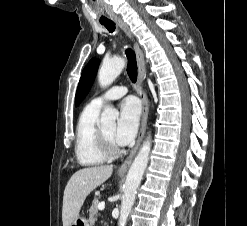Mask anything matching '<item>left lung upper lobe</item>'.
<instances>
[{
  "instance_id": "obj_1",
  "label": "left lung upper lobe",
  "mask_w": 247,
  "mask_h": 226,
  "mask_svg": "<svg viewBox=\"0 0 247 226\" xmlns=\"http://www.w3.org/2000/svg\"><path fill=\"white\" fill-rule=\"evenodd\" d=\"M99 63H100L99 59L92 58L84 68L76 91V97H75L76 106H78L80 102L88 94L93 84V81L95 79L99 67Z\"/></svg>"
}]
</instances>
